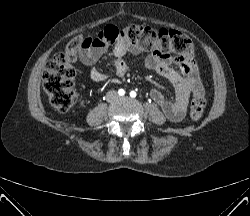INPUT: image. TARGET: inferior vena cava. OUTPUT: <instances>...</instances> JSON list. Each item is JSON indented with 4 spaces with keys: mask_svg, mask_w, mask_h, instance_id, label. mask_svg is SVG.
Here are the masks:
<instances>
[{
    "mask_svg": "<svg viewBox=\"0 0 250 216\" xmlns=\"http://www.w3.org/2000/svg\"><path fill=\"white\" fill-rule=\"evenodd\" d=\"M116 94V92H114V91H110V92H108V95H110V94Z\"/></svg>",
    "mask_w": 250,
    "mask_h": 216,
    "instance_id": "602c4592",
    "label": "inferior vena cava"
}]
</instances>
